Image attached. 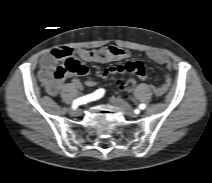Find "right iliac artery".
<instances>
[{
  "mask_svg": "<svg viewBox=\"0 0 212 183\" xmlns=\"http://www.w3.org/2000/svg\"><path fill=\"white\" fill-rule=\"evenodd\" d=\"M104 93H105L104 89H98L92 94L80 97V98L74 100V102L72 104V108L76 109L79 105L86 104L88 102L97 100V99L101 98L104 95Z\"/></svg>",
  "mask_w": 212,
  "mask_h": 183,
  "instance_id": "obj_1",
  "label": "right iliac artery"
}]
</instances>
